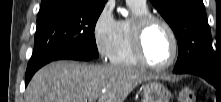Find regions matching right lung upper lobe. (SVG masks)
I'll return each instance as SVG.
<instances>
[{"mask_svg":"<svg viewBox=\"0 0 221 102\" xmlns=\"http://www.w3.org/2000/svg\"><path fill=\"white\" fill-rule=\"evenodd\" d=\"M74 1H86L91 6L102 7L105 5L107 0H42L41 8L49 7L55 4H59V3H69V2H74Z\"/></svg>","mask_w":221,"mask_h":102,"instance_id":"obj_1","label":"right lung upper lobe"}]
</instances>
